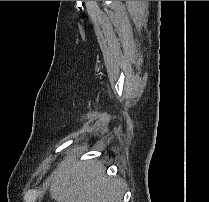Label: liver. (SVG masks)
<instances>
[{"instance_id": "liver-1", "label": "liver", "mask_w": 209, "mask_h": 202, "mask_svg": "<svg viewBox=\"0 0 209 202\" xmlns=\"http://www.w3.org/2000/svg\"><path fill=\"white\" fill-rule=\"evenodd\" d=\"M50 195L57 202H122L123 186L105 176L97 161L79 162L66 157L50 177Z\"/></svg>"}]
</instances>
